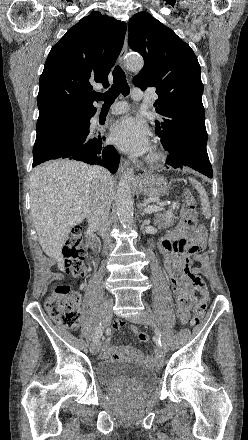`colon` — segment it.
<instances>
[{
    "label": "colon",
    "mask_w": 248,
    "mask_h": 440,
    "mask_svg": "<svg viewBox=\"0 0 248 440\" xmlns=\"http://www.w3.org/2000/svg\"><path fill=\"white\" fill-rule=\"evenodd\" d=\"M184 196L188 209V219L196 223L198 215L194 195L190 189H186ZM63 255L68 272L76 277H82L87 273V265L84 261L82 231L79 226H74L71 229L63 249ZM191 284L196 295L191 324L196 325L204 316L207 290L204 280L198 275L191 278ZM79 302L78 294L71 289L70 285L60 284L47 296L45 310L49 317L58 325L66 328H75L80 320ZM137 337L142 343H147L150 339L149 334L144 331L138 332Z\"/></svg>",
    "instance_id": "obj_1"
}]
</instances>
